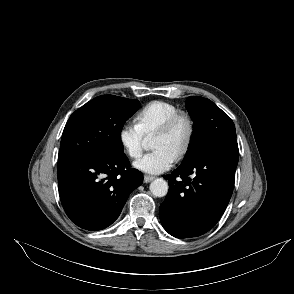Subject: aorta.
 Masks as SVG:
<instances>
[{"mask_svg":"<svg viewBox=\"0 0 294 294\" xmlns=\"http://www.w3.org/2000/svg\"><path fill=\"white\" fill-rule=\"evenodd\" d=\"M145 149H148L147 145ZM168 188V183L162 178H157L150 184V191L156 197H164L168 192Z\"/></svg>","mask_w":294,"mask_h":294,"instance_id":"762f6f07","label":"aorta"}]
</instances>
